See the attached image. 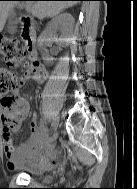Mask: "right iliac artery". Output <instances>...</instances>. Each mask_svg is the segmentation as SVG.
Wrapping results in <instances>:
<instances>
[{"mask_svg": "<svg viewBox=\"0 0 137 189\" xmlns=\"http://www.w3.org/2000/svg\"><path fill=\"white\" fill-rule=\"evenodd\" d=\"M47 128H50V122H47Z\"/></svg>", "mask_w": 137, "mask_h": 189, "instance_id": "1", "label": "right iliac artery"}]
</instances>
